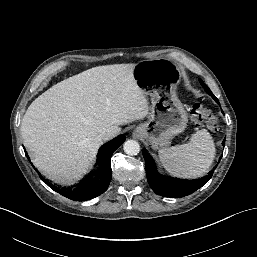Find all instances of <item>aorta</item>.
<instances>
[{
    "mask_svg": "<svg viewBox=\"0 0 257 257\" xmlns=\"http://www.w3.org/2000/svg\"><path fill=\"white\" fill-rule=\"evenodd\" d=\"M123 149L128 155H136L140 151V145L135 140H127L123 145Z\"/></svg>",
    "mask_w": 257,
    "mask_h": 257,
    "instance_id": "1",
    "label": "aorta"
}]
</instances>
